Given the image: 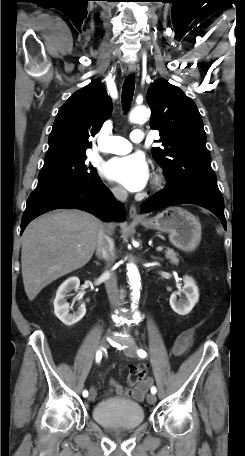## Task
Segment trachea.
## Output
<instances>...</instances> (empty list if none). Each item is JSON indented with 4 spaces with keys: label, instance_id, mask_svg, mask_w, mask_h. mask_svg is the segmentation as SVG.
Returning <instances> with one entry per match:
<instances>
[{
    "label": "trachea",
    "instance_id": "1",
    "mask_svg": "<svg viewBox=\"0 0 245 456\" xmlns=\"http://www.w3.org/2000/svg\"><path fill=\"white\" fill-rule=\"evenodd\" d=\"M134 89H135V78L133 75L128 76L124 83H123V88H122V103L123 107L125 110H128L133 94H134Z\"/></svg>",
    "mask_w": 245,
    "mask_h": 456
}]
</instances>
